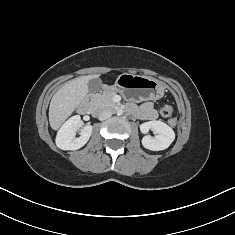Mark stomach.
<instances>
[{"label": "stomach", "instance_id": "stomach-1", "mask_svg": "<svg viewBox=\"0 0 235 235\" xmlns=\"http://www.w3.org/2000/svg\"><path fill=\"white\" fill-rule=\"evenodd\" d=\"M108 89L120 93L128 101L142 102L162 98L165 86L152 77L124 73Z\"/></svg>", "mask_w": 235, "mask_h": 235}]
</instances>
